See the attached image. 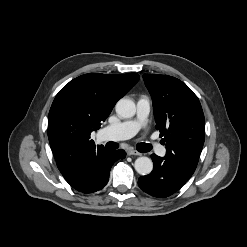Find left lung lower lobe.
Instances as JSON below:
<instances>
[{
    "instance_id": "0a47b994",
    "label": "left lung lower lobe",
    "mask_w": 247,
    "mask_h": 247,
    "mask_svg": "<svg viewBox=\"0 0 247 247\" xmlns=\"http://www.w3.org/2000/svg\"><path fill=\"white\" fill-rule=\"evenodd\" d=\"M153 170L149 175L140 177L139 187L155 197H167L180 189L190 179L194 171L176 159L167 156L151 155Z\"/></svg>"
}]
</instances>
